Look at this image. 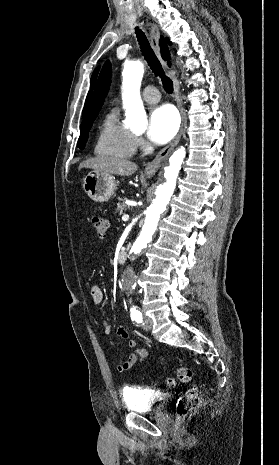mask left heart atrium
<instances>
[{"label": "left heart atrium", "mask_w": 279, "mask_h": 465, "mask_svg": "<svg viewBox=\"0 0 279 465\" xmlns=\"http://www.w3.org/2000/svg\"><path fill=\"white\" fill-rule=\"evenodd\" d=\"M178 127L179 118L175 109L170 105H161L150 114L147 137L155 144H164L175 136Z\"/></svg>", "instance_id": "left-heart-atrium-1"}]
</instances>
